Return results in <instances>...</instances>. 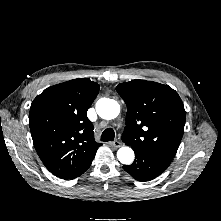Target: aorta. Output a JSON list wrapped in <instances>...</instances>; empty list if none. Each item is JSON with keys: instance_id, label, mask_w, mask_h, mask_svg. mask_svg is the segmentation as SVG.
I'll return each instance as SVG.
<instances>
[{"instance_id": "1", "label": "aorta", "mask_w": 221, "mask_h": 221, "mask_svg": "<svg viewBox=\"0 0 221 221\" xmlns=\"http://www.w3.org/2000/svg\"><path fill=\"white\" fill-rule=\"evenodd\" d=\"M96 111L101 118L110 120L119 115L120 105L113 99L101 98L96 103ZM134 157V152L130 147H121L117 151V158L122 164L130 165Z\"/></svg>"}]
</instances>
